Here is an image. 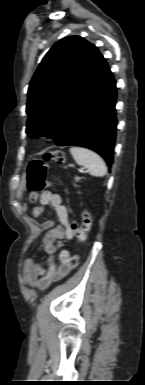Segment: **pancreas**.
<instances>
[{"mask_svg": "<svg viewBox=\"0 0 145 385\" xmlns=\"http://www.w3.org/2000/svg\"><path fill=\"white\" fill-rule=\"evenodd\" d=\"M75 181H76V182L80 181V178H75ZM74 186L76 187L75 184H74Z\"/></svg>", "mask_w": 145, "mask_h": 385, "instance_id": "pancreas-1", "label": "pancreas"}]
</instances>
